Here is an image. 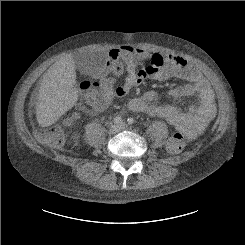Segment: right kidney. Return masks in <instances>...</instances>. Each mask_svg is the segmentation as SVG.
Returning <instances> with one entry per match:
<instances>
[{"mask_svg":"<svg viewBox=\"0 0 245 245\" xmlns=\"http://www.w3.org/2000/svg\"><path fill=\"white\" fill-rule=\"evenodd\" d=\"M73 139H74L75 141H78V140H79V136H75Z\"/></svg>","mask_w":245,"mask_h":245,"instance_id":"right-kidney-1","label":"right kidney"}]
</instances>
